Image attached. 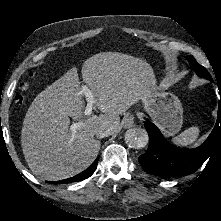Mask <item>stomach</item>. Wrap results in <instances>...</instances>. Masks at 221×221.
Segmentation results:
<instances>
[{
	"instance_id": "obj_1",
	"label": "stomach",
	"mask_w": 221,
	"mask_h": 221,
	"mask_svg": "<svg viewBox=\"0 0 221 221\" xmlns=\"http://www.w3.org/2000/svg\"><path fill=\"white\" fill-rule=\"evenodd\" d=\"M141 98V105L153 122L166 136H173L179 132L183 124V108L180 100L174 94L165 92L156 80Z\"/></svg>"
}]
</instances>
